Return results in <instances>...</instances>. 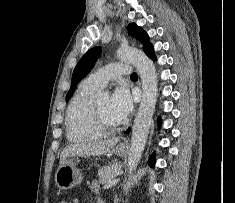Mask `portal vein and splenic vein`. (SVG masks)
I'll list each match as a JSON object with an SVG mask.
<instances>
[{
    "label": "portal vein and splenic vein",
    "instance_id": "portal-vein-and-splenic-vein-1",
    "mask_svg": "<svg viewBox=\"0 0 235 203\" xmlns=\"http://www.w3.org/2000/svg\"><path fill=\"white\" fill-rule=\"evenodd\" d=\"M118 181H119V178L110 181L109 183H107L106 185H104V189H109V188H111V187H112L113 185H115Z\"/></svg>",
    "mask_w": 235,
    "mask_h": 203
}]
</instances>
